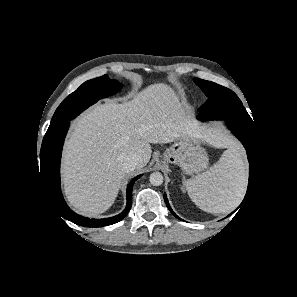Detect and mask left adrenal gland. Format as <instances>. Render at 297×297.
I'll return each mask as SVG.
<instances>
[{
	"label": "left adrenal gland",
	"instance_id": "a2214340",
	"mask_svg": "<svg viewBox=\"0 0 297 297\" xmlns=\"http://www.w3.org/2000/svg\"><path fill=\"white\" fill-rule=\"evenodd\" d=\"M183 179L185 180V178L183 177ZM183 183H185V181H183ZM184 189V188H183Z\"/></svg>",
	"mask_w": 297,
	"mask_h": 297
}]
</instances>
